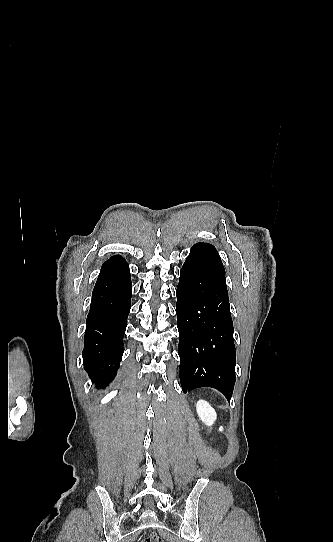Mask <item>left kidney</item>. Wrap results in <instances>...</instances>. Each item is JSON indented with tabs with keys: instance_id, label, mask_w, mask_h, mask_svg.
Masks as SVG:
<instances>
[{
	"instance_id": "1",
	"label": "left kidney",
	"mask_w": 333,
	"mask_h": 542,
	"mask_svg": "<svg viewBox=\"0 0 333 542\" xmlns=\"http://www.w3.org/2000/svg\"><path fill=\"white\" fill-rule=\"evenodd\" d=\"M196 410L200 420H202L206 426H212L215 420H217V414L214 408H211L210 404L205 402V400H199V402H197Z\"/></svg>"
}]
</instances>
